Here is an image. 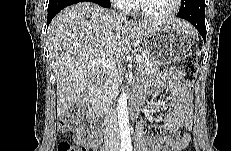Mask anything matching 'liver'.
Wrapping results in <instances>:
<instances>
[{
  "instance_id": "liver-1",
  "label": "liver",
  "mask_w": 231,
  "mask_h": 151,
  "mask_svg": "<svg viewBox=\"0 0 231 151\" xmlns=\"http://www.w3.org/2000/svg\"><path fill=\"white\" fill-rule=\"evenodd\" d=\"M169 22L188 35L195 32L185 20ZM159 24L135 23L92 2H78L58 13L47 30V47L56 77L58 116L99 84L105 67L92 65L93 60L119 64L131 46L144 45L149 32Z\"/></svg>"
}]
</instances>
